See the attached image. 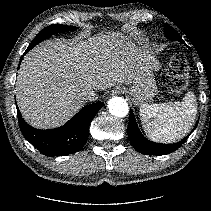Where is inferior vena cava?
<instances>
[{
  "label": "inferior vena cava",
  "instance_id": "1",
  "mask_svg": "<svg viewBox=\"0 0 211 211\" xmlns=\"http://www.w3.org/2000/svg\"><path fill=\"white\" fill-rule=\"evenodd\" d=\"M83 99L88 102H95L98 100V94L95 90H87L83 93Z\"/></svg>",
  "mask_w": 211,
  "mask_h": 211
}]
</instances>
